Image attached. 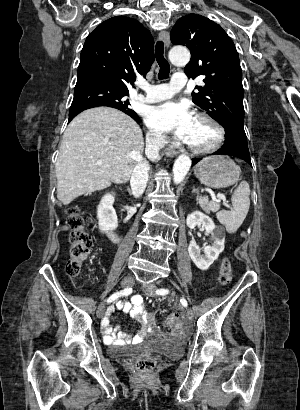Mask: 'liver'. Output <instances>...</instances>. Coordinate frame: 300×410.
Wrapping results in <instances>:
<instances>
[{
	"label": "liver",
	"mask_w": 300,
	"mask_h": 410,
	"mask_svg": "<svg viewBox=\"0 0 300 410\" xmlns=\"http://www.w3.org/2000/svg\"><path fill=\"white\" fill-rule=\"evenodd\" d=\"M144 139L125 113L96 107L77 115L65 130L56 162L57 198L64 205L111 182L130 180L142 157ZM101 160L102 164H97Z\"/></svg>",
	"instance_id": "6515ba94"
}]
</instances>
